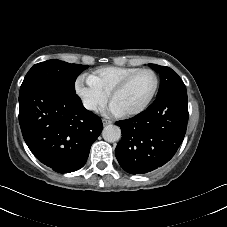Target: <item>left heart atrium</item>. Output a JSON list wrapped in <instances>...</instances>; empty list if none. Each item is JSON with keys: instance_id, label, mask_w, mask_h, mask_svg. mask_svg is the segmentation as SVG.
<instances>
[{"instance_id": "left-heart-atrium-1", "label": "left heart atrium", "mask_w": 227, "mask_h": 227, "mask_svg": "<svg viewBox=\"0 0 227 227\" xmlns=\"http://www.w3.org/2000/svg\"><path fill=\"white\" fill-rule=\"evenodd\" d=\"M108 112L113 115H122L124 111L119 107L118 104L112 101L108 108Z\"/></svg>"}]
</instances>
